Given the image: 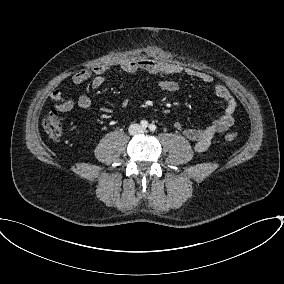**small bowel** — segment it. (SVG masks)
<instances>
[{
    "label": "small bowel",
    "mask_w": 284,
    "mask_h": 284,
    "mask_svg": "<svg viewBox=\"0 0 284 284\" xmlns=\"http://www.w3.org/2000/svg\"><path fill=\"white\" fill-rule=\"evenodd\" d=\"M120 69L129 74L145 71L162 77H169L184 72L206 84H210L213 81V77L208 73L194 70L185 71L178 65L149 58L125 61L120 65ZM108 71L109 67L106 65H99L91 69H82L72 76V81L75 84H81L90 79L92 87L98 88L105 82ZM158 85L162 90L170 93L176 92L179 89L178 83L172 79H163L159 81ZM214 93L224 103L220 117L202 128L186 127L180 122L175 123L176 129L181 131L185 138L193 142L194 148L198 152L205 151L217 134L227 131L234 123V113L237 106L235 98L226 86L219 83L214 85ZM50 97L54 102L55 108L60 112H69L74 107L73 100L65 97L60 88L54 89ZM77 105L83 110H89L92 102L87 95H81L77 100Z\"/></svg>",
    "instance_id": "1"
}]
</instances>
